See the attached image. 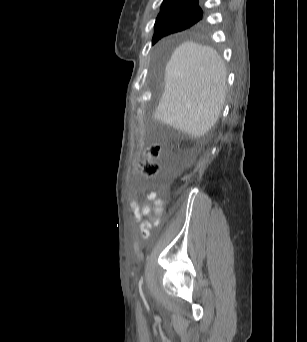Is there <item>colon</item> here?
<instances>
[{
	"label": "colon",
	"instance_id": "obj_1",
	"mask_svg": "<svg viewBox=\"0 0 307 342\" xmlns=\"http://www.w3.org/2000/svg\"><path fill=\"white\" fill-rule=\"evenodd\" d=\"M160 152L161 149L157 144L147 147L145 157L139 166V170L144 176L152 178L160 172L159 164L153 161L154 158L160 155Z\"/></svg>",
	"mask_w": 307,
	"mask_h": 342
}]
</instances>
